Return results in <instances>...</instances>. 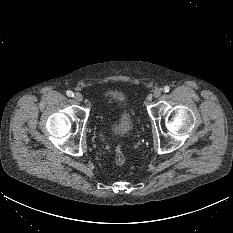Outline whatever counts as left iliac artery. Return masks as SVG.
<instances>
[{"label": "left iliac artery", "instance_id": "44dca946", "mask_svg": "<svg viewBox=\"0 0 233 233\" xmlns=\"http://www.w3.org/2000/svg\"><path fill=\"white\" fill-rule=\"evenodd\" d=\"M169 90H170V87L169 86H165L164 88H163V91L166 93V92H169Z\"/></svg>", "mask_w": 233, "mask_h": 233}]
</instances>
